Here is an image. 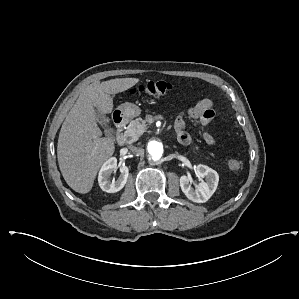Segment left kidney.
<instances>
[{
  "label": "left kidney",
  "mask_w": 299,
  "mask_h": 299,
  "mask_svg": "<svg viewBox=\"0 0 299 299\" xmlns=\"http://www.w3.org/2000/svg\"><path fill=\"white\" fill-rule=\"evenodd\" d=\"M195 174L197 177L205 178V181L202 180L194 190L189 184V177L183 175L180 177L181 190L189 200L195 203H205L216 191L219 175L215 170L202 164L195 168Z\"/></svg>",
  "instance_id": "5707ae66"
}]
</instances>
